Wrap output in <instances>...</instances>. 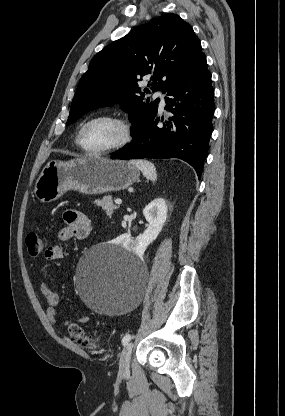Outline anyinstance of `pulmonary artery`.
I'll use <instances>...</instances> for the list:
<instances>
[{"label":"pulmonary artery","mask_w":285,"mask_h":416,"mask_svg":"<svg viewBox=\"0 0 285 416\" xmlns=\"http://www.w3.org/2000/svg\"><path fill=\"white\" fill-rule=\"evenodd\" d=\"M153 96L159 99L160 110H164V108L166 107V99L168 97L167 93L161 89H156L154 91Z\"/></svg>","instance_id":"1"}]
</instances>
